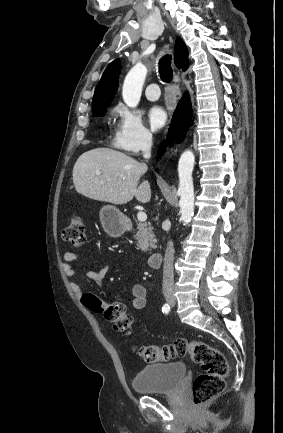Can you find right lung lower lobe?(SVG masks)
<instances>
[{
	"label": "right lung lower lobe",
	"mask_w": 283,
	"mask_h": 433,
	"mask_svg": "<svg viewBox=\"0 0 283 433\" xmlns=\"http://www.w3.org/2000/svg\"><path fill=\"white\" fill-rule=\"evenodd\" d=\"M192 109L191 103L189 101L188 95L185 94L184 97L178 103V106L174 112L172 125L170 128V134L168 135V144L171 145L173 143V137L176 140H181L188 125L191 120ZM166 141H163L159 147L158 154H161L165 151Z\"/></svg>",
	"instance_id": "1"
}]
</instances>
